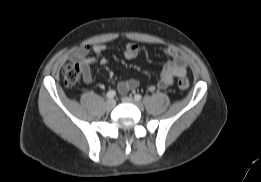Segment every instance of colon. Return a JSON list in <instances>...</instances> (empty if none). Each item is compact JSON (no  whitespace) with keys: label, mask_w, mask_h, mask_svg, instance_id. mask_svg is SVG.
Listing matches in <instances>:
<instances>
[{"label":"colon","mask_w":261,"mask_h":182,"mask_svg":"<svg viewBox=\"0 0 261 182\" xmlns=\"http://www.w3.org/2000/svg\"><path fill=\"white\" fill-rule=\"evenodd\" d=\"M63 83L66 87H74L81 78V69L75 63L66 64L62 69ZM180 90H186L189 87V81L185 77H180L177 81Z\"/></svg>","instance_id":"5ec220e1"}]
</instances>
